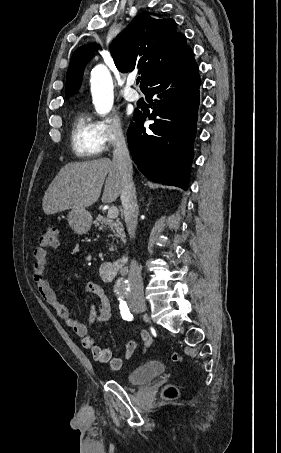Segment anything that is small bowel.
Listing matches in <instances>:
<instances>
[{"mask_svg": "<svg viewBox=\"0 0 281 453\" xmlns=\"http://www.w3.org/2000/svg\"><path fill=\"white\" fill-rule=\"evenodd\" d=\"M33 267L32 277L36 285L37 292L44 301L55 311L57 316L69 325L79 336L82 341L83 348L91 353L96 360L101 363H108L113 370H119L122 366V358L113 355V352L108 347L99 346L89 335V327L82 323L79 319L74 318L69 310L61 304L56 294L50 288L46 277V270L50 263V256L44 248L36 247L32 251ZM84 290L98 296V303L93 306L89 326L91 328L99 327L103 322L110 318L112 305L110 300L105 296L102 287L95 282H88L84 285ZM140 337L144 341L143 349L146 350L150 346V336L147 331L141 330ZM137 348V340H131L125 348L124 358L129 360L135 353Z\"/></svg>", "mask_w": 281, "mask_h": 453, "instance_id": "small-bowel-1", "label": "small bowel"}]
</instances>
